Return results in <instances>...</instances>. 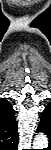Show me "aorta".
Here are the masks:
<instances>
[{
	"label": "aorta",
	"mask_w": 51,
	"mask_h": 150,
	"mask_svg": "<svg viewBox=\"0 0 51 150\" xmlns=\"http://www.w3.org/2000/svg\"><path fill=\"white\" fill-rule=\"evenodd\" d=\"M48 146V139L47 136L45 134H38L33 142V147L35 149H42V148H46Z\"/></svg>",
	"instance_id": "obj_1"
}]
</instances>
